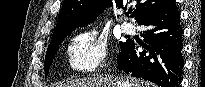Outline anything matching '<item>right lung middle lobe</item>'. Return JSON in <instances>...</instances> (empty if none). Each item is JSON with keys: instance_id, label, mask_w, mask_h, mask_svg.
I'll return each mask as SVG.
<instances>
[{"instance_id": "1", "label": "right lung middle lobe", "mask_w": 205, "mask_h": 87, "mask_svg": "<svg viewBox=\"0 0 205 87\" xmlns=\"http://www.w3.org/2000/svg\"><path fill=\"white\" fill-rule=\"evenodd\" d=\"M68 34H66L63 37L54 39L52 41V43L49 45L47 52H46V56H45V63H44V71H45V75H48L49 72V68L50 65L55 57V54L58 51L59 45L62 43L63 39L67 36ZM124 43H121L120 45L122 46Z\"/></svg>"}]
</instances>
